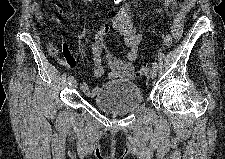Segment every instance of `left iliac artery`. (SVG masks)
I'll list each match as a JSON object with an SVG mask.
<instances>
[{"label":"left iliac artery","instance_id":"1","mask_svg":"<svg viewBox=\"0 0 225 159\" xmlns=\"http://www.w3.org/2000/svg\"><path fill=\"white\" fill-rule=\"evenodd\" d=\"M152 65H153V68L158 69V64L156 62H153Z\"/></svg>","mask_w":225,"mask_h":159}]
</instances>
